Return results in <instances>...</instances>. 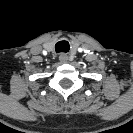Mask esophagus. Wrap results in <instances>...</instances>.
<instances>
[{"label":"esophagus","mask_w":133,"mask_h":133,"mask_svg":"<svg viewBox=\"0 0 133 133\" xmlns=\"http://www.w3.org/2000/svg\"><path fill=\"white\" fill-rule=\"evenodd\" d=\"M59 61H60L61 63H66V62L68 61V56H67V54L61 53V54L59 55Z\"/></svg>","instance_id":"34e87169"}]
</instances>
